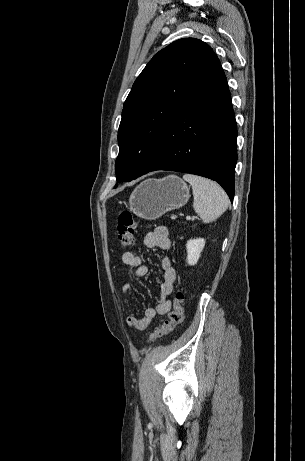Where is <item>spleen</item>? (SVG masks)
<instances>
[{
    "label": "spleen",
    "instance_id": "obj_1",
    "mask_svg": "<svg viewBox=\"0 0 305 461\" xmlns=\"http://www.w3.org/2000/svg\"><path fill=\"white\" fill-rule=\"evenodd\" d=\"M183 179L192 186L193 208L204 223L215 221L226 211L229 199L219 184L193 174H185Z\"/></svg>",
    "mask_w": 305,
    "mask_h": 461
}]
</instances>
